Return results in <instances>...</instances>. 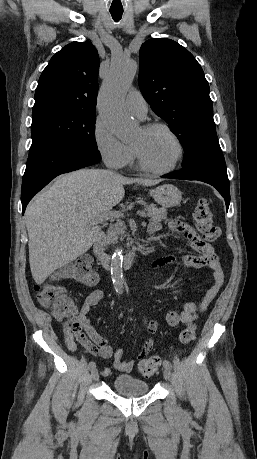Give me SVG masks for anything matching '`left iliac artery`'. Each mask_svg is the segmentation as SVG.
<instances>
[{
  "label": "left iliac artery",
  "instance_id": "obj_1",
  "mask_svg": "<svg viewBox=\"0 0 257 459\" xmlns=\"http://www.w3.org/2000/svg\"><path fill=\"white\" fill-rule=\"evenodd\" d=\"M163 365H164L165 368H169V369L172 368V365H171L170 361H168V360H164Z\"/></svg>",
  "mask_w": 257,
  "mask_h": 459
}]
</instances>
